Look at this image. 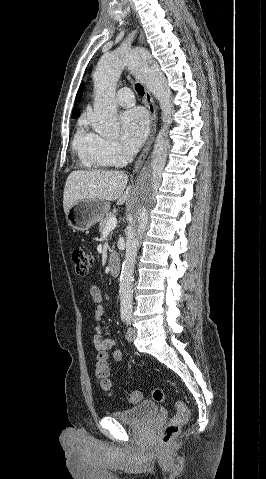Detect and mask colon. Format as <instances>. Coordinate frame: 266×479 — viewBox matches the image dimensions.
I'll use <instances>...</instances> for the list:
<instances>
[{"instance_id":"colon-1","label":"colon","mask_w":266,"mask_h":479,"mask_svg":"<svg viewBox=\"0 0 266 479\" xmlns=\"http://www.w3.org/2000/svg\"><path fill=\"white\" fill-rule=\"evenodd\" d=\"M72 261L75 266L76 274L79 276H86L93 265V257L83 249L73 250ZM107 359L108 355L106 352L101 351L98 353L95 361V376L100 388L110 394L111 381L109 378L110 371ZM142 399L143 393L139 390L131 392L128 396V402L130 403H137ZM153 399L157 402H164L166 400V395L162 389L156 388L153 392ZM173 407L175 413L161 433L160 439L165 445L169 444L173 438L179 434L182 426L188 422L190 417V410L182 401H173Z\"/></svg>"}]
</instances>
